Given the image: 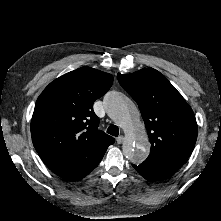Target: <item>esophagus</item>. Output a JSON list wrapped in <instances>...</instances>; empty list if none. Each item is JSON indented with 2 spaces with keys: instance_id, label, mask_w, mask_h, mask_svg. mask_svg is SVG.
Segmentation results:
<instances>
[{
  "instance_id": "34e87169",
  "label": "esophagus",
  "mask_w": 221,
  "mask_h": 221,
  "mask_svg": "<svg viewBox=\"0 0 221 221\" xmlns=\"http://www.w3.org/2000/svg\"><path fill=\"white\" fill-rule=\"evenodd\" d=\"M123 141H124V137L123 136H119V137L116 138V142L118 144H121Z\"/></svg>"
}]
</instances>
